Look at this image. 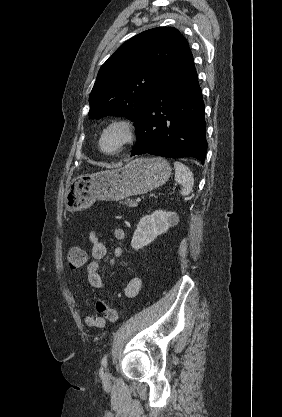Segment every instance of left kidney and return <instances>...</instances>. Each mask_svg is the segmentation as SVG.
I'll return each instance as SVG.
<instances>
[{"instance_id":"obj_1","label":"left kidney","mask_w":282,"mask_h":417,"mask_svg":"<svg viewBox=\"0 0 282 417\" xmlns=\"http://www.w3.org/2000/svg\"><path fill=\"white\" fill-rule=\"evenodd\" d=\"M178 223L177 213H171V211H154L152 215H145L140 219L137 229L133 233L131 247L135 251L147 247L149 243L155 241L158 235H163L169 227H175Z\"/></svg>"}]
</instances>
